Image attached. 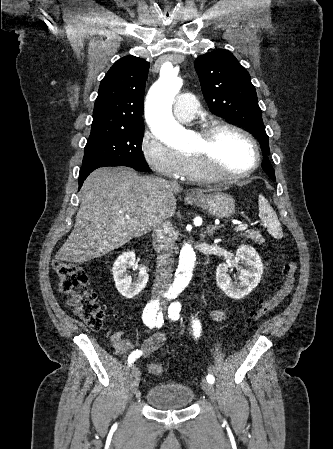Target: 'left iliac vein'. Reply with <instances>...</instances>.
Instances as JSON below:
<instances>
[{"instance_id": "1", "label": "left iliac vein", "mask_w": 333, "mask_h": 449, "mask_svg": "<svg viewBox=\"0 0 333 449\" xmlns=\"http://www.w3.org/2000/svg\"><path fill=\"white\" fill-rule=\"evenodd\" d=\"M201 386H202V389L204 390V392L210 397V399L214 401L215 393H214L213 385L211 383H209L206 379H202Z\"/></svg>"}]
</instances>
